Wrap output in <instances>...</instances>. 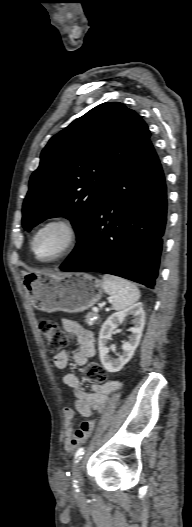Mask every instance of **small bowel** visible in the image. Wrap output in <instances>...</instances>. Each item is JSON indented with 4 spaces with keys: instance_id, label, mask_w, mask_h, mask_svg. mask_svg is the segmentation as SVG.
Instances as JSON below:
<instances>
[{
    "instance_id": "small-bowel-1",
    "label": "small bowel",
    "mask_w": 192,
    "mask_h": 527,
    "mask_svg": "<svg viewBox=\"0 0 192 527\" xmlns=\"http://www.w3.org/2000/svg\"><path fill=\"white\" fill-rule=\"evenodd\" d=\"M62 325L65 330L76 336L79 344L78 350L73 354L74 363L77 366H84L87 360L95 354V340L92 331L83 328L71 319H63ZM53 361L58 369H66L70 356L67 351H59ZM63 382L73 390L76 397L75 409L84 417H90L93 411L100 410L108 396L119 387L118 381L110 380L100 385L94 384L91 386V392H86L82 387L81 379L75 373L65 374ZM64 417V446L67 451H73L87 438L94 426V421H84L80 428L74 430L75 411L66 408Z\"/></svg>"
}]
</instances>
